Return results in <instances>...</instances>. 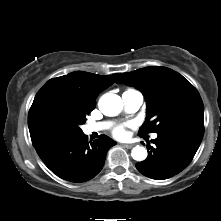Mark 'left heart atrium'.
<instances>
[{"label":"left heart atrium","instance_id":"1","mask_svg":"<svg viewBox=\"0 0 221 221\" xmlns=\"http://www.w3.org/2000/svg\"><path fill=\"white\" fill-rule=\"evenodd\" d=\"M113 134L117 138H124L126 136V125H119L113 130Z\"/></svg>","mask_w":221,"mask_h":221}]
</instances>
